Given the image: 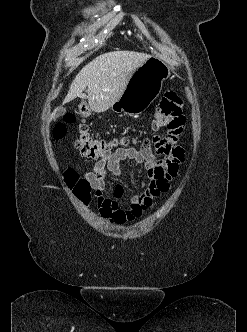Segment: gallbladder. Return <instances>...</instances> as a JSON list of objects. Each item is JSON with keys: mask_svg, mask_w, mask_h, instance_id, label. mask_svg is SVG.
Segmentation results:
<instances>
[{"mask_svg": "<svg viewBox=\"0 0 247 332\" xmlns=\"http://www.w3.org/2000/svg\"><path fill=\"white\" fill-rule=\"evenodd\" d=\"M66 112L65 108H60L58 109V111L56 112V117H60L61 115H63Z\"/></svg>", "mask_w": 247, "mask_h": 332, "instance_id": "1", "label": "gallbladder"}]
</instances>
